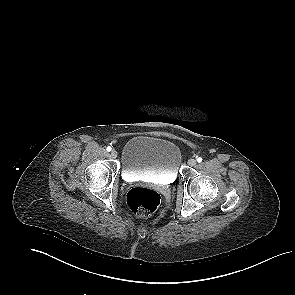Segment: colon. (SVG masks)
<instances>
[{"instance_id": "1", "label": "colon", "mask_w": 295, "mask_h": 295, "mask_svg": "<svg viewBox=\"0 0 295 295\" xmlns=\"http://www.w3.org/2000/svg\"><path fill=\"white\" fill-rule=\"evenodd\" d=\"M160 200L161 197L157 191L143 187L132 188L126 195L129 209L139 217H146L154 213Z\"/></svg>"}]
</instances>
